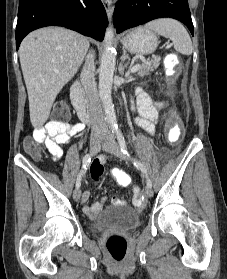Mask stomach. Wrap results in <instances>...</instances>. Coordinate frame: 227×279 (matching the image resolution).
<instances>
[{
  "instance_id": "1",
  "label": "stomach",
  "mask_w": 227,
  "mask_h": 279,
  "mask_svg": "<svg viewBox=\"0 0 227 279\" xmlns=\"http://www.w3.org/2000/svg\"><path fill=\"white\" fill-rule=\"evenodd\" d=\"M124 48L136 55L153 53L158 46V38L154 32L145 28H137L121 40Z\"/></svg>"
}]
</instances>
